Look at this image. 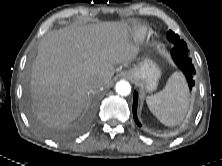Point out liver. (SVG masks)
Masks as SVG:
<instances>
[{"label":"liver","mask_w":222,"mask_h":166,"mask_svg":"<svg viewBox=\"0 0 222 166\" xmlns=\"http://www.w3.org/2000/svg\"><path fill=\"white\" fill-rule=\"evenodd\" d=\"M127 22L72 25L47 33L33 62L31 94L38 119L65 128L83 111L94 83H110L115 66L135 59Z\"/></svg>","instance_id":"liver-1"}]
</instances>
